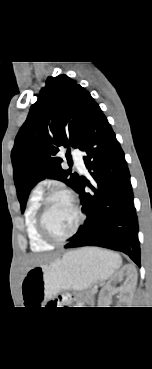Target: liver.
I'll return each mask as SVG.
<instances>
[{
    "instance_id": "1",
    "label": "liver",
    "mask_w": 152,
    "mask_h": 369,
    "mask_svg": "<svg viewBox=\"0 0 152 369\" xmlns=\"http://www.w3.org/2000/svg\"><path fill=\"white\" fill-rule=\"evenodd\" d=\"M49 260H50L49 256H31L27 260V264L29 265V268L27 270H29L30 268L36 265H42L48 262Z\"/></svg>"
}]
</instances>
